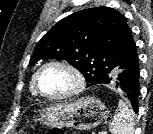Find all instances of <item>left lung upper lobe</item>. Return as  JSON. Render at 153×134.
I'll return each instance as SVG.
<instances>
[{"instance_id": "left-lung-upper-lobe-1", "label": "left lung upper lobe", "mask_w": 153, "mask_h": 134, "mask_svg": "<svg viewBox=\"0 0 153 134\" xmlns=\"http://www.w3.org/2000/svg\"><path fill=\"white\" fill-rule=\"evenodd\" d=\"M37 59H64L80 70L87 86L99 84L125 59L136 53L126 18L110 7L75 12L56 23L37 43Z\"/></svg>"}]
</instances>
